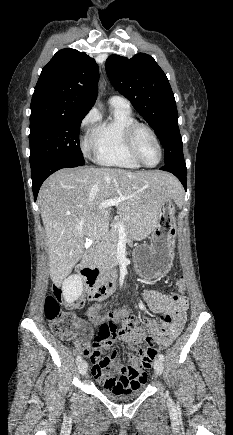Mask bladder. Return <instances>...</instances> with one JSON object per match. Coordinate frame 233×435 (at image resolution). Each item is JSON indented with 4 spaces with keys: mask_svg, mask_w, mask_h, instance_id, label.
<instances>
[{
    "mask_svg": "<svg viewBox=\"0 0 233 435\" xmlns=\"http://www.w3.org/2000/svg\"><path fill=\"white\" fill-rule=\"evenodd\" d=\"M144 390H145V384L143 381L141 382L140 385H137V387L134 388L133 391L126 392V393L119 392L118 390H116L110 386H104V387L100 388V391L105 396H107L108 398H110L112 400H116V401H124V400L133 399V398L139 396L140 394H142Z\"/></svg>",
    "mask_w": 233,
    "mask_h": 435,
    "instance_id": "1",
    "label": "bladder"
}]
</instances>
